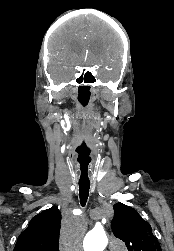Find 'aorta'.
<instances>
[{"label":"aorta","instance_id":"1","mask_svg":"<svg viewBox=\"0 0 174 251\" xmlns=\"http://www.w3.org/2000/svg\"><path fill=\"white\" fill-rule=\"evenodd\" d=\"M107 243L108 239L104 231L92 230L86 234L83 245L85 251H103Z\"/></svg>","mask_w":174,"mask_h":251}]
</instances>
